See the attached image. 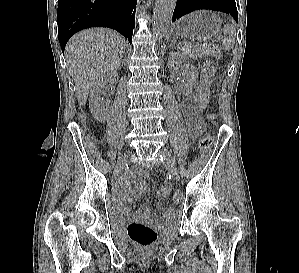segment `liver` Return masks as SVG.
<instances>
[{
    "label": "liver",
    "instance_id": "6515ba94",
    "mask_svg": "<svg viewBox=\"0 0 299 273\" xmlns=\"http://www.w3.org/2000/svg\"><path fill=\"white\" fill-rule=\"evenodd\" d=\"M125 46L120 34L104 28L83 30L69 40L65 48L66 63L80 105L85 104L98 77L120 66Z\"/></svg>",
    "mask_w": 299,
    "mask_h": 273
}]
</instances>
